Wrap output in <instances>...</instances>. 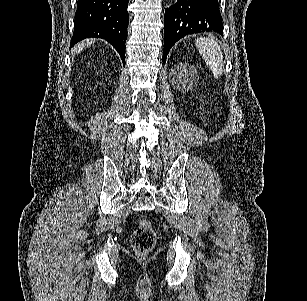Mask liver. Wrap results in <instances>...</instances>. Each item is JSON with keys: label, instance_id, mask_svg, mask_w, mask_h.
<instances>
[{"label": "liver", "instance_id": "1", "mask_svg": "<svg viewBox=\"0 0 307 301\" xmlns=\"http://www.w3.org/2000/svg\"><path fill=\"white\" fill-rule=\"evenodd\" d=\"M95 40L96 38H86V40H82V42H78V44H75V46L71 48V54H78V52H81V50H84V48H87V46H90V44H93Z\"/></svg>", "mask_w": 307, "mask_h": 301}]
</instances>
